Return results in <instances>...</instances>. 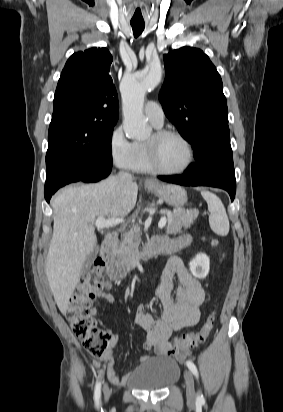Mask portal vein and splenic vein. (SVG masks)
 I'll return each mask as SVG.
<instances>
[{
	"label": "portal vein and splenic vein",
	"instance_id": "1",
	"mask_svg": "<svg viewBox=\"0 0 283 412\" xmlns=\"http://www.w3.org/2000/svg\"><path fill=\"white\" fill-rule=\"evenodd\" d=\"M175 211H183L182 209H178ZM125 220L123 218H112V219H106V218H98L95 222L94 225L99 228V229H104V228H109V227H114L116 225H119L120 223H124ZM167 223V218L166 216L162 217L158 223L159 228L165 227Z\"/></svg>",
	"mask_w": 283,
	"mask_h": 412
}]
</instances>
